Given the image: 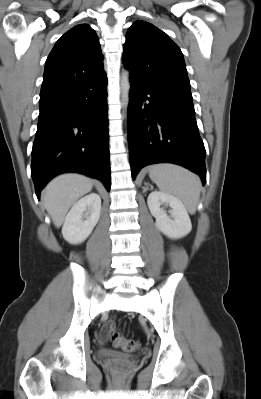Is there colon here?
Returning <instances> with one entry per match:
<instances>
[{
    "label": "colon",
    "mask_w": 261,
    "mask_h": 399,
    "mask_svg": "<svg viewBox=\"0 0 261 399\" xmlns=\"http://www.w3.org/2000/svg\"><path fill=\"white\" fill-rule=\"evenodd\" d=\"M111 340L116 347L126 352L137 351L140 347V342L138 340L123 337L121 333L115 329L114 325L111 328Z\"/></svg>",
    "instance_id": "5ec220e1"
}]
</instances>
